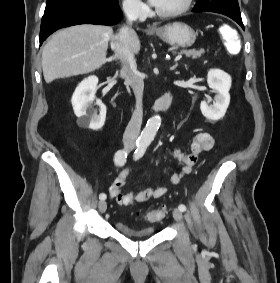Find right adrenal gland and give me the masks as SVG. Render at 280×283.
I'll use <instances>...</instances> for the list:
<instances>
[{
    "mask_svg": "<svg viewBox=\"0 0 280 283\" xmlns=\"http://www.w3.org/2000/svg\"><path fill=\"white\" fill-rule=\"evenodd\" d=\"M107 61H108V62H111V61H112V59H111V58H109V59H107Z\"/></svg>",
    "mask_w": 280,
    "mask_h": 283,
    "instance_id": "2a0ac1e0",
    "label": "right adrenal gland"
}]
</instances>
